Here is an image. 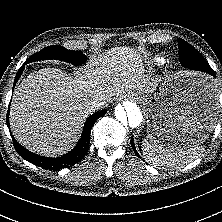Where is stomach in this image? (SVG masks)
Instances as JSON below:
<instances>
[{"label": "stomach", "instance_id": "1", "mask_svg": "<svg viewBox=\"0 0 222 222\" xmlns=\"http://www.w3.org/2000/svg\"><path fill=\"white\" fill-rule=\"evenodd\" d=\"M130 93L145 105L148 138L166 146L203 144L217 120V94L212 81L203 74H170L152 95Z\"/></svg>", "mask_w": 222, "mask_h": 222}]
</instances>
